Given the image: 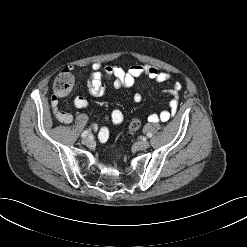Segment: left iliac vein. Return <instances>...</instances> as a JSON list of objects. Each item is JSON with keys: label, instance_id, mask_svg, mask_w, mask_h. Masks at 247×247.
<instances>
[{"label": "left iliac vein", "instance_id": "4c4485c4", "mask_svg": "<svg viewBox=\"0 0 247 247\" xmlns=\"http://www.w3.org/2000/svg\"><path fill=\"white\" fill-rule=\"evenodd\" d=\"M136 147L139 150H145L149 147V142L147 140L139 141L136 143Z\"/></svg>", "mask_w": 247, "mask_h": 247}]
</instances>
